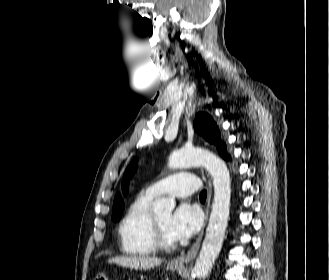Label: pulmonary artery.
Returning <instances> with one entry per match:
<instances>
[{
	"label": "pulmonary artery",
	"mask_w": 329,
	"mask_h": 280,
	"mask_svg": "<svg viewBox=\"0 0 329 280\" xmlns=\"http://www.w3.org/2000/svg\"><path fill=\"white\" fill-rule=\"evenodd\" d=\"M200 189L196 175L190 172H180L160 179L147 188L153 196L170 194L175 197H187Z\"/></svg>",
	"instance_id": "pulmonary-artery-1"
}]
</instances>
